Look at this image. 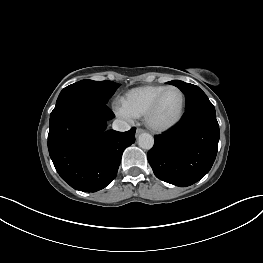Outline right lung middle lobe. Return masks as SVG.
<instances>
[{
    "instance_id": "1",
    "label": "right lung middle lobe",
    "mask_w": 263,
    "mask_h": 263,
    "mask_svg": "<svg viewBox=\"0 0 263 263\" xmlns=\"http://www.w3.org/2000/svg\"><path fill=\"white\" fill-rule=\"evenodd\" d=\"M120 84L112 81L82 80L64 88L56 102L58 107L71 100H84L107 104Z\"/></svg>"
}]
</instances>
